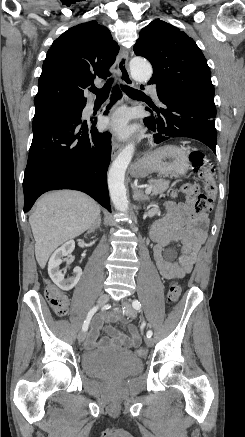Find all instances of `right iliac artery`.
I'll use <instances>...</instances> for the list:
<instances>
[{
  "label": "right iliac artery",
  "instance_id": "1",
  "mask_svg": "<svg viewBox=\"0 0 245 437\" xmlns=\"http://www.w3.org/2000/svg\"><path fill=\"white\" fill-rule=\"evenodd\" d=\"M98 308H99L98 306H95V307H93V308L88 312L87 317H86V319H85V321H84V323H83V326H82V330H83L84 332H86V331L88 330L90 320H91L92 316L96 313V311L98 310Z\"/></svg>",
  "mask_w": 245,
  "mask_h": 437
}]
</instances>
